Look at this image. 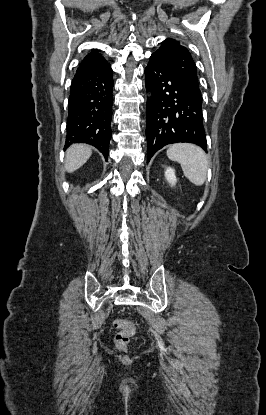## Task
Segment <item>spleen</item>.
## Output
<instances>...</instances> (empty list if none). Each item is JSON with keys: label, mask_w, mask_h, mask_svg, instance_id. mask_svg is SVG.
Returning a JSON list of instances; mask_svg holds the SVG:
<instances>
[{"label": "spleen", "mask_w": 266, "mask_h": 415, "mask_svg": "<svg viewBox=\"0 0 266 415\" xmlns=\"http://www.w3.org/2000/svg\"><path fill=\"white\" fill-rule=\"evenodd\" d=\"M167 156L180 163L185 177L193 184L201 186L207 177L208 160L205 152L198 146L188 143L171 145Z\"/></svg>", "instance_id": "obj_1"}]
</instances>
